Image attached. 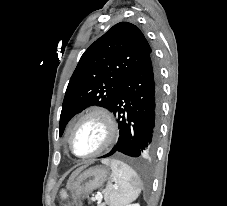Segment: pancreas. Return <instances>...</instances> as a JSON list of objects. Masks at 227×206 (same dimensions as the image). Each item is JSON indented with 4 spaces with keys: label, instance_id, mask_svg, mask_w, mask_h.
I'll return each instance as SVG.
<instances>
[{
    "label": "pancreas",
    "instance_id": "1",
    "mask_svg": "<svg viewBox=\"0 0 227 206\" xmlns=\"http://www.w3.org/2000/svg\"><path fill=\"white\" fill-rule=\"evenodd\" d=\"M98 206H105V204H99Z\"/></svg>",
    "mask_w": 227,
    "mask_h": 206
}]
</instances>
